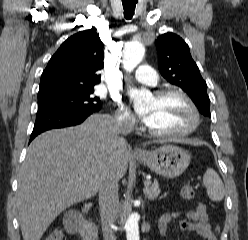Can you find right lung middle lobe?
<instances>
[{"label":"right lung middle lobe","instance_id":"right-lung-middle-lobe-1","mask_svg":"<svg viewBox=\"0 0 248 240\" xmlns=\"http://www.w3.org/2000/svg\"><path fill=\"white\" fill-rule=\"evenodd\" d=\"M93 88L75 92L38 96V109L46 107H59L71 110H93L101 108V101L94 97Z\"/></svg>","mask_w":248,"mask_h":240}]
</instances>
